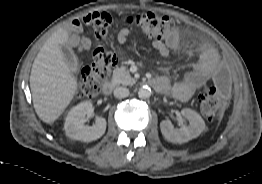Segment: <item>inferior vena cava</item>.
Listing matches in <instances>:
<instances>
[{
	"mask_svg": "<svg viewBox=\"0 0 262 184\" xmlns=\"http://www.w3.org/2000/svg\"><path fill=\"white\" fill-rule=\"evenodd\" d=\"M113 94L116 98H125L129 95V89L126 87H117L114 89Z\"/></svg>",
	"mask_w": 262,
	"mask_h": 184,
	"instance_id": "602c4592",
	"label": "inferior vena cava"
}]
</instances>
